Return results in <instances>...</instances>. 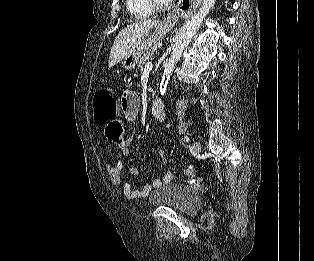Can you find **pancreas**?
<instances>
[{"mask_svg":"<svg viewBox=\"0 0 314 261\" xmlns=\"http://www.w3.org/2000/svg\"><path fill=\"white\" fill-rule=\"evenodd\" d=\"M155 51H156L155 45H153L148 50L144 51L143 55L140 57L138 61V68L140 69L141 72L143 71V67L146 64V62L151 60L154 57Z\"/></svg>","mask_w":314,"mask_h":261,"instance_id":"cf45deb5","label":"pancreas"}]
</instances>
